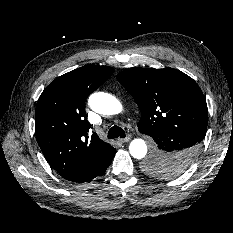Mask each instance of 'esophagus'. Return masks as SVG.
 I'll use <instances>...</instances> for the list:
<instances>
[{
    "instance_id": "34e87169",
    "label": "esophagus",
    "mask_w": 233,
    "mask_h": 233,
    "mask_svg": "<svg viewBox=\"0 0 233 233\" xmlns=\"http://www.w3.org/2000/svg\"><path fill=\"white\" fill-rule=\"evenodd\" d=\"M131 138H132V135H131V134H128L125 138H119L118 141H119L120 143H126V142L130 141Z\"/></svg>"
}]
</instances>
